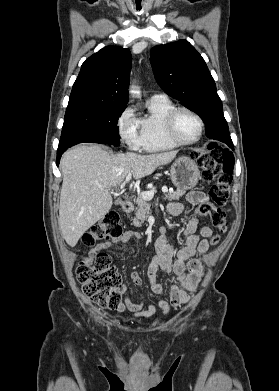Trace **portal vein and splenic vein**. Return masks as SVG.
I'll return each mask as SVG.
<instances>
[{
    "mask_svg": "<svg viewBox=\"0 0 279 391\" xmlns=\"http://www.w3.org/2000/svg\"><path fill=\"white\" fill-rule=\"evenodd\" d=\"M131 176H132L131 173H129V174L126 176L125 181H124V182L121 184V186H120L121 189H123L124 186H125V184L131 179ZM101 188H102V187H101ZM102 189H103V188H102ZM162 192H163V193L168 192L167 187H163V188H162ZM154 193H155V189H152V190H150V191H144V192L141 193V197H142L144 200L150 201V200L153 199Z\"/></svg>",
    "mask_w": 279,
    "mask_h": 391,
    "instance_id": "1",
    "label": "portal vein and splenic vein"
}]
</instances>
